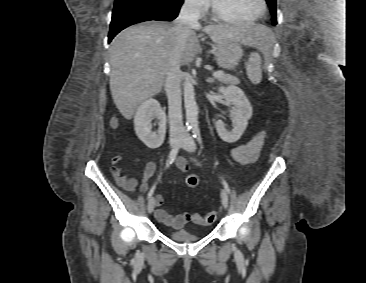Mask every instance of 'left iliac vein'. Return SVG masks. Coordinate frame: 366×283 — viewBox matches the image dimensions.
<instances>
[{
  "instance_id": "left-iliac-vein-1",
  "label": "left iliac vein",
  "mask_w": 366,
  "mask_h": 283,
  "mask_svg": "<svg viewBox=\"0 0 366 283\" xmlns=\"http://www.w3.org/2000/svg\"><path fill=\"white\" fill-rule=\"evenodd\" d=\"M181 147L188 151V152H194L196 150V145L194 142V139L189 134H184L181 139ZM221 201L225 208L228 207V195L225 190L221 191Z\"/></svg>"
}]
</instances>
